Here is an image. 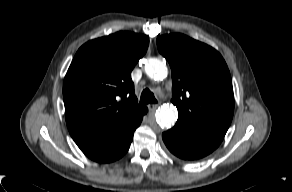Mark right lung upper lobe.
Wrapping results in <instances>:
<instances>
[{
  "label": "right lung upper lobe",
  "mask_w": 292,
  "mask_h": 192,
  "mask_svg": "<svg viewBox=\"0 0 292 192\" xmlns=\"http://www.w3.org/2000/svg\"><path fill=\"white\" fill-rule=\"evenodd\" d=\"M148 43L146 35L117 32L77 51L63 83L71 135L115 130L146 113L134 94L131 71Z\"/></svg>",
  "instance_id": "obj_1"
}]
</instances>
